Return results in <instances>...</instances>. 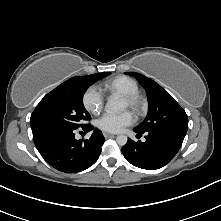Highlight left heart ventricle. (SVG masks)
I'll use <instances>...</instances> for the list:
<instances>
[{"label": "left heart ventricle", "instance_id": "b2bd125f", "mask_svg": "<svg viewBox=\"0 0 221 221\" xmlns=\"http://www.w3.org/2000/svg\"><path fill=\"white\" fill-rule=\"evenodd\" d=\"M123 107H124V108H127V107H128V105H127V103H126L125 100H123Z\"/></svg>", "mask_w": 221, "mask_h": 221}]
</instances>
